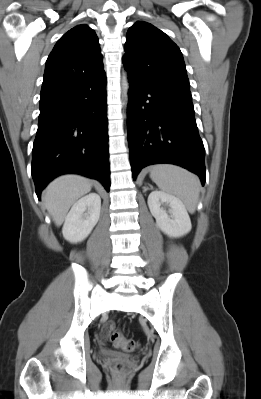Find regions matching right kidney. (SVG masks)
<instances>
[{
    "instance_id": "ca27d5eb",
    "label": "right kidney",
    "mask_w": 261,
    "mask_h": 399,
    "mask_svg": "<svg viewBox=\"0 0 261 399\" xmlns=\"http://www.w3.org/2000/svg\"><path fill=\"white\" fill-rule=\"evenodd\" d=\"M101 198L96 193H90L79 199L65 218L62 228L63 237L78 243L88 237L100 217Z\"/></svg>"
}]
</instances>
